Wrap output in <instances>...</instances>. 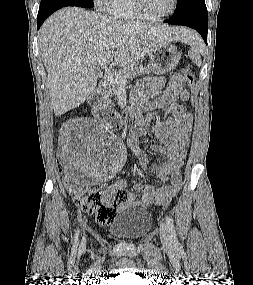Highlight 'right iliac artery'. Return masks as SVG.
Segmentation results:
<instances>
[{
  "mask_svg": "<svg viewBox=\"0 0 253 285\" xmlns=\"http://www.w3.org/2000/svg\"><path fill=\"white\" fill-rule=\"evenodd\" d=\"M78 236H79V230L77 231V233L75 234V237H74V245H75V247L77 246Z\"/></svg>",
  "mask_w": 253,
  "mask_h": 285,
  "instance_id": "right-iliac-artery-1",
  "label": "right iliac artery"
}]
</instances>
